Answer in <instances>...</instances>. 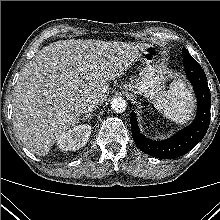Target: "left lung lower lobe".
<instances>
[{
  "mask_svg": "<svg viewBox=\"0 0 220 220\" xmlns=\"http://www.w3.org/2000/svg\"><path fill=\"white\" fill-rule=\"evenodd\" d=\"M182 53L186 73L198 101L194 122L170 139L152 141L141 135L136 116L131 113L132 137L135 144L141 151L156 158L173 159L190 151L203 139L210 123L211 94L206 75L185 48L182 49Z\"/></svg>",
  "mask_w": 220,
  "mask_h": 220,
  "instance_id": "0a47b994",
  "label": "left lung lower lobe"
}]
</instances>
